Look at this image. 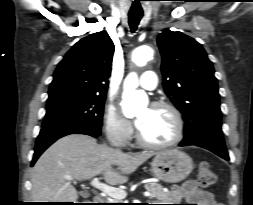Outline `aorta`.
<instances>
[{"mask_svg": "<svg viewBox=\"0 0 253 205\" xmlns=\"http://www.w3.org/2000/svg\"><path fill=\"white\" fill-rule=\"evenodd\" d=\"M153 53V49L149 46L137 47L132 53V61L137 66H145L153 57ZM123 87L122 111L126 117H133L147 106L148 97L144 91L136 90L138 87L136 73H130L126 77Z\"/></svg>", "mask_w": 253, "mask_h": 205, "instance_id": "obj_1", "label": "aorta"}]
</instances>
